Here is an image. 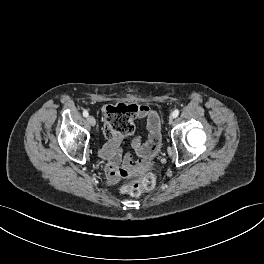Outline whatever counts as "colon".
Wrapping results in <instances>:
<instances>
[{
    "label": "colon",
    "mask_w": 264,
    "mask_h": 264,
    "mask_svg": "<svg viewBox=\"0 0 264 264\" xmlns=\"http://www.w3.org/2000/svg\"><path fill=\"white\" fill-rule=\"evenodd\" d=\"M107 126L104 134L107 137L112 135H129L134 131V119L137 107L134 104L108 105L105 110ZM124 177H130L131 182L122 187V192L138 196L154 188L156 177L152 173H146L143 168H134L130 171L124 170L121 173Z\"/></svg>",
    "instance_id": "5ec220e1"
}]
</instances>
